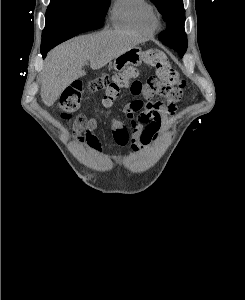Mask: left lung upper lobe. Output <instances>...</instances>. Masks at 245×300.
I'll use <instances>...</instances> for the list:
<instances>
[{
  "label": "left lung upper lobe",
  "mask_w": 245,
  "mask_h": 300,
  "mask_svg": "<svg viewBox=\"0 0 245 300\" xmlns=\"http://www.w3.org/2000/svg\"><path fill=\"white\" fill-rule=\"evenodd\" d=\"M167 23L166 30L159 34V40L176 50L182 57L187 49L184 31L185 10L182 0H151Z\"/></svg>",
  "instance_id": "5c2ea615"
}]
</instances>
